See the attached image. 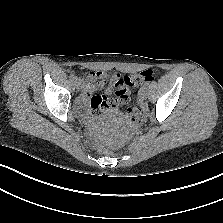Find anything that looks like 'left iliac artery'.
Returning <instances> with one entry per match:
<instances>
[{"instance_id":"1","label":"left iliac artery","mask_w":223,"mask_h":223,"mask_svg":"<svg viewBox=\"0 0 223 223\" xmlns=\"http://www.w3.org/2000/svg\"><path fill=\"white\" fill-rule=\"evenodd\" d=\"M148 84H145V86L143 88H146Z\"/></svg>"}]
</instances>
